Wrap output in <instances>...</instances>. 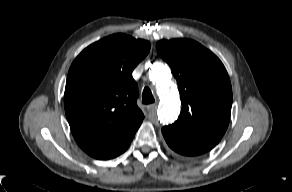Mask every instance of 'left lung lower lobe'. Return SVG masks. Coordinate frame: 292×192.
<instances>
[{"mask_svg": "<svg viewBox=\"0 0 292 192\" xmlns=\"http://www.w3.org/2000/svg\"><path fill=\"white\" fill-rule=\"evenodd\" d=\"M162 133L168 146L172 150L186 156L201 155L211 150L216 145L179 135L165 127L162 128Z\"/></svg>", "mask_w": 292, "mask_h": 192, "instance_id": "obj_1", "label": "left lung lower lobe"}]
</instances>
